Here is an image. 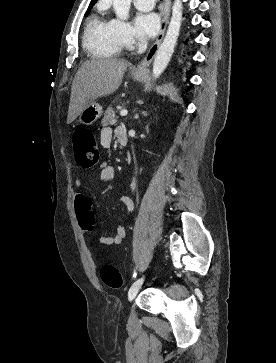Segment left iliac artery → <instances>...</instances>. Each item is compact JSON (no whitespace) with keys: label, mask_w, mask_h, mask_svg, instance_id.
<instances>
[{"label":"left iliac artery","mask_w":276,"mask_h":363,"mask_svg":"<svg viewBox=\"0 0 276 363\" xmlns=\"http://www.w3.org/2000/svg\"><path fill=\"white\" fill-rule=\"evenodd\" d=\"M137 276V272L135 271L133 274V277L135 278Z\"/></svg>","instance_id":"1"}]
</instances>
